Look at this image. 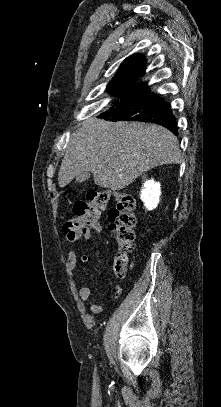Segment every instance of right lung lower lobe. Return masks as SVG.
Returning <instances> with one entry per match:
<instances>
[{
    "instance_id": "98d812e1",
    "label": "right lung lower lobe",
    "mask_w": 221,
    "mask_h": 407,
    "mask_svg": "<svg viewBox=\"0 0 221 407\" xmlns=\"http://www.w3.org/2000/svg\"><path fill=\"white\" fill-rule=\"evenodd\" d=\"M100 117L111 121L152 122L164 126L175 135L178 134L176 118L170 104L149 93L147 85L114 103V106Z\"/></svg>"
}]
</instances>
